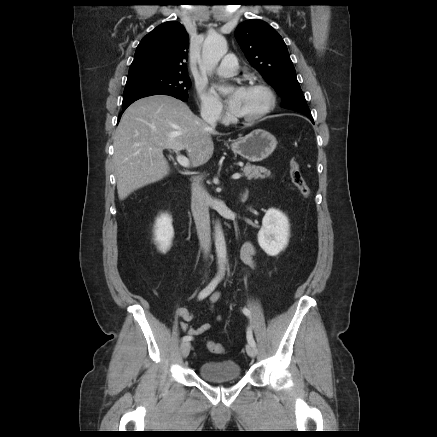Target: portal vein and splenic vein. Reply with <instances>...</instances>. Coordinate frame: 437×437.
<instances>
[{
	"label": "portal vein and splenic vein",
	"instance_id": "18ae733b",
	"mask_svg": "<svg viewBox=\"0 0 437 437\" xmlns=\"http://www.w3.org/2000/svg\"><path fill=\"white\" fill-rule=\"evenodd\" d=\"M176 159H177V162H178L181 166H183V167H185V168H189V166H190V162H189L188 158H186L185 156H183V155H181V154H178L177 157H176ZM240 177H241V175H240L239 173H235V174H233V176H232L233 179H239Z\"/></svg>",
	"mask_w": 437,
	"mask_h": 437
}]
</instances>
